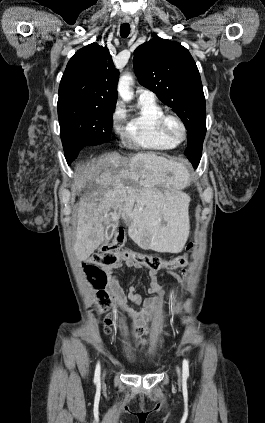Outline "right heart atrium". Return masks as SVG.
<instances>
[{
	"label": "right heart atrium",
	"mask_w": 265,
	"mask_h": 423,
	"mask_svg": "<svg viewBox=\"0 0 265 423\" xmlns=\"http://www.w3.org/2000/svg\"><path fill=\"white\" fill-rule=\"evenodd\" d=\"M125 118V110L121 104H116L111 114V125L115 131L120 130V123Z\"/></svg>",
	"instance_id": "d8ad5b80"
}]
</instances>
